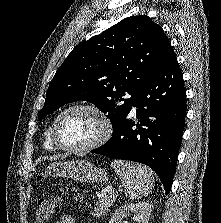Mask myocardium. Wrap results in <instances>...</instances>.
Returning <instances> with one entry per match:
<instances>
[{
    "label": "myocardium",
    "mask_w": 221,
    "mask_h": 223,
    "mask_svg": "<svg viewBox=\"0 0 221 223\" xmlns=\"http://www.w3.org/2000/svg\"><path fill=\"white\" fill-rule=\"evenodd\" d=\"M73 110H84V111H89L93 113L99 118L102 125V131L95 140H93L92 142L86 145L79 146V147L67 146V145L62 144L59 141L58 135H57L58 126L61 119L63 118L65 114ZM112 132H113L112 122L104 111H102L100 108L94 105L80 103V104H74V105L68 106L67 108H65L58 114V116L53 122L52 131H51V140L53 144L61 150L70 151V152H87V151H92L94 149H97L98 147L105 144L111 137Z\"/></svg>",
    "instance_id": "myocardium-1"
}]
</instances>
